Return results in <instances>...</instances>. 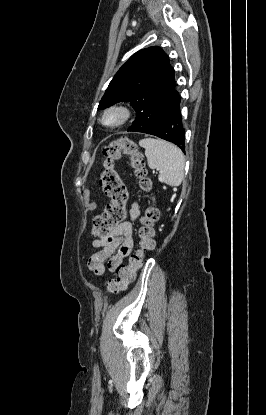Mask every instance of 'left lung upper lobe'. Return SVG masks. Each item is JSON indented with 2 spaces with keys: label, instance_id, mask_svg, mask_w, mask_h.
Here are the masks:
<instances>
[{
  "label": "left lung upper lobe",
  "instance_id": "5c2ea615",
  "mask_svg": "<svg viewBox=\"0 0 266 415\" xmlns=\"http://www.w3.org/2000/svg\"><path fill=\"white\" fill-rule=\"evenodd\" d=\"M168 55L154 46L133 54L111 80L98 109L128 101L136 119L128 131L144 132L160 122L180 99Z\"/></svg>",
  "mask_w": 266,
  "mask_h": 415
}]
</instances>
